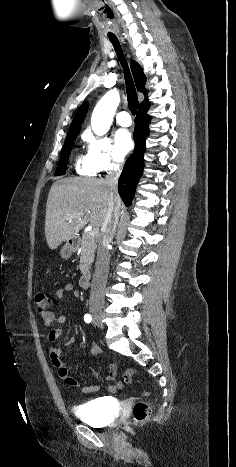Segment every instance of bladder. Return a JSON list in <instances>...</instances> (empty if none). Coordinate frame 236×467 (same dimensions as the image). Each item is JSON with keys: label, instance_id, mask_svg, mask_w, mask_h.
Masks as SVG:
<instances>
[{"label": "bladder", "instance_id": "31cf9c89", "mask_svg": "<svg viewBox=\"0 0 236 467\" xmlns=\"http://www.w3.org/2000/svg\"><path fill=\"white\" fill-rule=\"evenodd\" d=\"M112 402L110 398H96L78 406L75 411L87 424L104 427L110 424L107 413L114 409Z\"/></svg>", "mask_w": 236, "mask_h": 467}]
</instances>
